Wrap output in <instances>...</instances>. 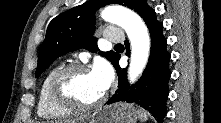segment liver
Returning a JSON list of instances; mask_svg holds the SVG:
<instances>
[{
	"label": "liver",
	"mask_w": 221,
	"mask_h": 123,
	"mask_svg": "<svg viewBox=\"0 0 221 123\" xmlns=\"http://www.w3.org/2000/svg\"><path fill=\"white\" fill-rule=\"evenodd\" d=\"M75 121H76V120L66 121L65 123H70V122L74 123Z\"/></svg>",
	"instance_id": "liver-1"
}]
</instances>
